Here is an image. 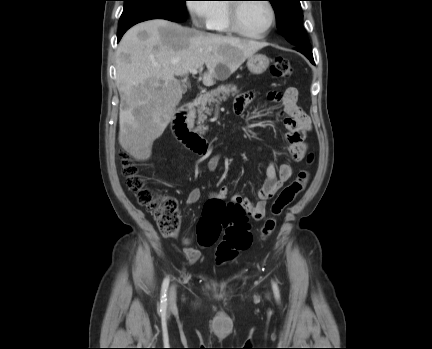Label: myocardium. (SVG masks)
Listing matches in <instances>:
<instances>
[{"instance_id": "myocardium-1", "label": "myocardium", "mask_w": 432, "mask_h": 349, "mask_svg": "<svg viewBox=\"0 0 432 349\" xmlns=\"http://www.w3.org/2000/svg\"><path fill=\"white\" fill-rule=\"evenodd\" d=\"M234 1H243V0H234ZM262 2L266 3L271 13V20L268 27L262 32L258 34L250 33L244 30L240 24L239 19V8L243 5L244 2H231L228 4V23L230 30L240 36L251 38V39H263L267 37L277 22V13L274 4L270 0H262Z\"/></svg>"}]
</instances>
